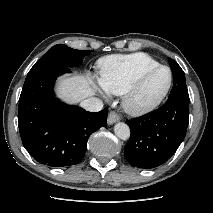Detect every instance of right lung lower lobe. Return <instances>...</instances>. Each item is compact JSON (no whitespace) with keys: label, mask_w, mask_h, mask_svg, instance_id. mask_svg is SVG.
Here are the masks:
<instances>
[{"label":"right lung lower lobe","mask_w":213,"mask_h":213,"mask_svg":"<svg viewBox=\"0 0 213 213\" xmlns=\"http://www.w3.org/2000/svg\"><path fill=\"white\" fill-rule=\"evenodd\" d=\"M69 72L70 67L61 63L32 68L19 99L22 143L35 160L51 167L78 164L85 155L89 136L107 125V109L88 112L54 98L56 78Z\"/></svg>","instance_id":"obj_1"}]
</instances>
